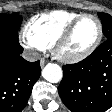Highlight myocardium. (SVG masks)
I'll return each instance as SVG.
<instances>
[{"mask_svg": "<svg viewBox=\"0 0 112 112\" xmlns=\"http://www.w3.org/2000/svg\"><path fill=\"white\" fill-rule=\"evenodd\" d=\"M86 17L93 18L97 23L98 32H97V36H96L95 40L93 41V43L90 45V47L88 49H86L85 51H83L79 54H76V55H65V54H63V52L61 50L63 44L70 37V35H71L73 29L75 28V26L83 18H86ZM102 37H103V25H102L101 20L94 14L83 13V14H80L78 17H76L74 20H72L63 29V31L58 35V37L55 39V41L52 45V52H53V54L56 58H58L59 60H61L63 62L77 63V62H80V61L86 59L87 57H89L98 48V46H99V44L102 40Z\"/></svg>", "mask_w": 112, "mask_h": 112, "instance_id": "obj_1", "label": "myocardium"}]
</instances>
